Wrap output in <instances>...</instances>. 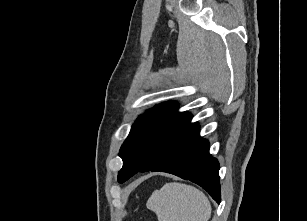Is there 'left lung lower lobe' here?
Returning a JSON list of instances; mask_svg holds the SVG:
<instances>
[{"label": "left lung lower lobe", "instance_id": "left-lung-lower-lobe-1", "mask_svg": "<svg viewBox=\"0 0 307 221\" xmlns=\"http://www.w3.org/2000/svg\"><path fill=\"white\" fill-rule=\"evenodd\" d=\"M139 171L167 172L190 180L220 203L219 163L209 154V143L200 137L198 125L171 142Z\"/></svg>", "mask_w": 307, "mask_h": 221}]
</instances>
